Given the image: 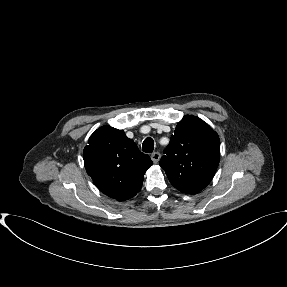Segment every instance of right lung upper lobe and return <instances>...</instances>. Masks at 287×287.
Returning a JSON list of instances; mask_svg holds the SVG:
<instances>
[{"mask_svg": "<svg viewBox=\"0 0 287 287\" xmlns=\"http://www.w3.org/2000/svg\"><path fill=\"white\" fill-rule=\"evenodd\" d=\"M86 171L98 189L118 201L135 196L143 176L153 164L123 130L111 126L98 128L84 148Z\"/></svg>", "mask_w": 287, "mask_h": 287, "instance_id": "right-lung-upper-lobe-1", "label": "right lung upper lobe"}]
</instances>
